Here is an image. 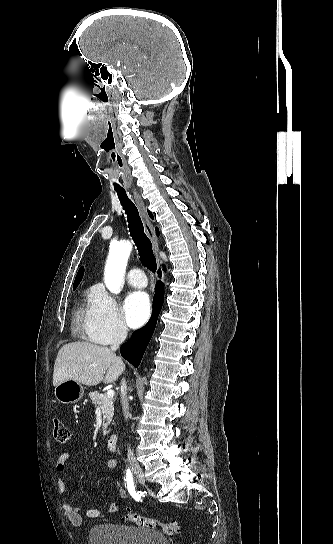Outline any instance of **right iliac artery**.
Listing matches in <instances>:
<instances>
[{
    "mask_svg": "<svg viewBox=\"0 0 333 544\" xmlns=\"http://www.w3.org/2000/svg\"><path fill=\"white\" fill-rule=\"evenodd\" d=\"M125 481H126V485H127V489H128V492L130 493V495L136 500V501H139L141 499V496L138 495L135 491V483H134V480H133V475H132V472L131 470L128 468L126 470V478H125ZM125 485V486H126Z\"/></svg>",
    "mask_w": 333,
    "mask_h": 544,
    "instance_id": "1",
    "label": "right iliac artery"
}]
</instances>
